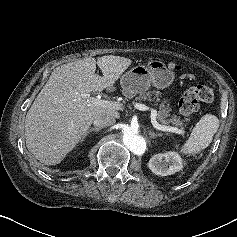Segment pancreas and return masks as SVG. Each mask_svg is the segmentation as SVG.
<instances>
[{
	"mask_svg": "<svg viewBox=\"0 0 237 237\" xmlns=\"http://www.w3.org/2000/svg\"><path fill=\"white\" fill-rule=\"evenodd\" d=\"M161 94L158 91H148L146 93L140 94L135 98V102L141 101H154L156 100V105L158 106V120L163 125H168L169 123L182 126L183 122L180 120L179 116L173 115L170 116L171 108L169 104H167L166 100L160 99Z\"/></svg>",
	"mask_w": 237,
	"mask_h": 237,
	"instance_id": "obj_1",
	"label": "pancreas"
}]
</instances>
